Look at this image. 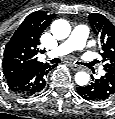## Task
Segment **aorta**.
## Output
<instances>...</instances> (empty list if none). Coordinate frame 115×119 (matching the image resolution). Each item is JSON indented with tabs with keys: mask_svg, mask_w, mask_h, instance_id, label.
<instances>
[{
	"mask_svg": "<svg viewBox=\"0 0 115 119\" xmlns=\"http://www.w3.org/2000/svg\"><path fill=\"white\" fill-rule=\"evenodd\" d=\"M71 32L70 24L65 20H56L51 25V33L58 40H63L69 36ZM90 76L86 72H78L75 75V81L79 86H85L88 84Z\"/></svg>",
	"mask_w": 115,
	"mask_h": 119,
	"instance_id": "aorta-1",
	"label": "aorta"
}]
</instances>
